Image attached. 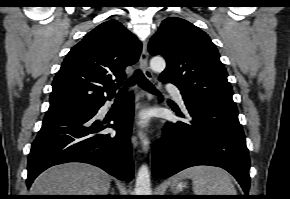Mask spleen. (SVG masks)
<instances>
[{"mask_svg": "<svg viewBox=\"0 0 290 199\" xmlns=\"http://www.w3.org/2000/svg\"><path fill=\"white\" fill-rule=\"evenodd\" d=\"M191 178L195 195H237L228 173L214 166H194L181 173Z\"/></svg>", "mask_w": 290, "mask_h": 199, "instance_id": "spleen-1", "label": "spleen"}]
</instances>
